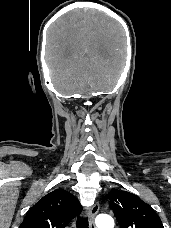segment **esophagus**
I'll use <instances>...</instances> for the list:
<instances>
[{"instance_id":"34e87169","label":"esophagus","mask_w":171,"mask_h":228,"mask_svg":"<svg viewBox=\"0 0 171 228\" xmlns=\"http://www.w3.org/2000/svg\"><path fill=\"white\" fill-rule=\"evenodd\" d=\"M99 211V204L96 202L89 210V228H96L95 217Z\"/></svg>"}]
</instances>
